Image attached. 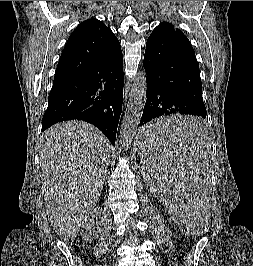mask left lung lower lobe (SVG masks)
Masks as SVG:
<instances>
[{
    "instance_id": "obj_1",
    "label": "left lung lower lobe",
    "mask_w": 253,
    "mask_h": 266,
    "mask_svg": "<svg viewBox=\"0 0 253 266\" xmlns=\"http://www.w3.org/2000/svg\"><path fill=\"white\" fill-rule=\"evenodd\" d=\"M147 75L146 103L140 120L144 138L152 141L199 135L206 108L195 52L187 37L172 24L161 23L149 36L143 62ZM196 115L185 121L156 124L169 114Z\"/></svg>"
}]
</instances>
